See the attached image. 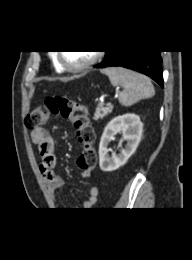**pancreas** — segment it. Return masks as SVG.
Returning <instances> with one entry per match:
<instances>
[{"mask_svg": "<svg viewBox=\"0 0 192 260\" xmlns=\"http://www.w3.org/2000/svg\"><path fill=\"white\" fill-rule=\"evenodd\" d=\"M112 109H113L112 105H107L106 107H104L102 104H99L94 113V120L103 119L109 113L112 112Z\"/></svg>", "mask_w": 192, "mask_h": 260, "instance_id": "pancreas-1", "label": "pancreas"}]
</instances>
